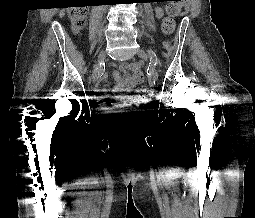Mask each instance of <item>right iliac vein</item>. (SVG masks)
Segmentation results:
<instances>
[{
	"instance_id": "obj_1",
	"label": "right iliac vein",
	"mask_w": 255,
	"mask_h": 218,
	"mask_svg": "<svg viewBox=\"0 0 255 218\" xmlns=\"http://www.w3.org/2000/svg\"><path fill=\"white\" fill-rule=\"evenodd\" d=\"M105 58H106V52L105 51L100 52L97 63L94 65L93 72H92V80L94 83L98 81V75L105 61Z\"/></svg>"
}]
</instances>
